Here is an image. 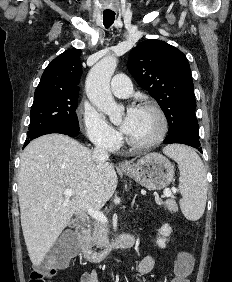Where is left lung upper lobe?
I'll return each mask as SVG.
<instances>
[{"mask_svg": "<svg viewBox=\"0 0 232 282\" xmlns=\"http://www.w3.org/2000/svg\"><path fill=\"white\" fill-rule=\"evenodd\" d=\"M127 67L158 102L169 127L199 133L191 70L180 50L163 41L146 40L131 50Z\"/></svg>", "mask_w": 232, "mask_h": 282, "instance_id": "obj_1", "label": "left lung upper lobe"}]
</instances>
